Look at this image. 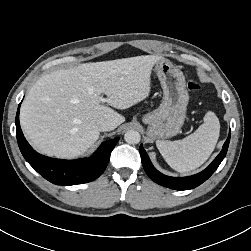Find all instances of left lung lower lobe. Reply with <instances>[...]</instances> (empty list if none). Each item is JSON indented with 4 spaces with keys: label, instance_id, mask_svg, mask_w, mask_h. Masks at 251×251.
<instances>
[{
    "label": "left lung lower lobe",
    "instance_id": "obj_1",
    "mask_svg": "<svg viewBox=\"0 0 251 251\" xmlns=\"http://www.w3.org/2000/svg\"><path fill=\"white\" fill-rule=\"evenodd\" d=\"M230 141V133L226 140V142L223 145V148L221 152L218 154V156L213 160V162L202 172L188 176V177H170L166 176L162 173H160L158 170L154 168L152 165L146 151L144 150L142 144L139 147L140 155H141V161L143 168L146 172V174L156 183L159 185H162L167 188L175 189V190H189L193 189L200 184H202L204 181H206L218 168L222 160L224 159L228 146Z\"/></svg>",
    "mask_w": 251,
    "mask_h": 251
}]
</instances>
